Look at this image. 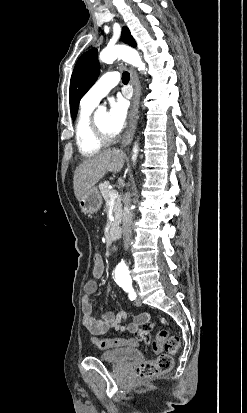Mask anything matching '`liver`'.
<instances>
[{
	"instance_id": "6515ba94",
	"label": "liver",
	"mask_w": 247,
	"mask_h": 413,
	"mask_svg": "<svg viewBox=\"0 0 247 413\" xmlns=\"http://www.w3.org/2000/svg\"><path fill=\"white\" fill-rule=\"evenodd\" d=\"M127 154L118 148H106L93 156L84 158L77 166L74 176V194L78 200L84 196L106 172H120Z\"/></svg>"
}]
</instances>
